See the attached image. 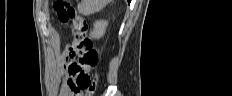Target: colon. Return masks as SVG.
<instances>
[{
    "mask_svg": "<svg viewBox=\"0 0 232 96\" xmlns=\"http://www.w3.org/2000/svg\"><path fill=\"white\" fill-rule=\"evenodd\" d=\"M55 10L61 23L71 24L74 39L68 52L70 59L68 72L76 77L75 95L81 96L85 91H92L94 88L95 84L89 72L91 68L98 65L99 54L92 40L87 36L86 20L78 15L76 9L67 2L58 0L55 2Z\"/></svg>",
    "mask_w": 232,
    "mask_h": 96,
    "instance_id": "5ec220e1",
    "label": "colon"
}]
</instances>
